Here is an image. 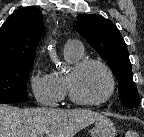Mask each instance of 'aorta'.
<instances>
[{"label":"aorta","instance_id":"obj_1","mask_svg":"<svg viewBox=\"0 0 144 137\" xmlns=\"http://www.w3.org/2000/svg\"><path fill=\"white\" fill-rule=\"evenodd\" d=\"M49 56L54 63L58 62V56L54 48L50 51Z\"/></svg>","mask_w":144,"mask_h":137}]
</instances>
